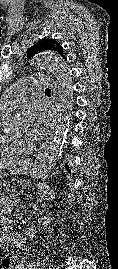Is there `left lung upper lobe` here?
Returning <instances> with one entry per match:
<instances>
[{"label":"left lung upper lobe","instance_id":"left-lung-upper-lobe-1","mask_svg":"<svg viewBox=\"0 0 118 269\" xmlns=\"http://www.w3.org/2000/svg\"><path fill=\"white\" fill-rule=\"evenodd\" d=\"M46 50L55 51L66 60V57L63 55V47L54 39H44L37 45L32 46L27 53V58H31L33 55Z\"/></svg>","mask_w":118,"mask_h":269}]
</instances>
